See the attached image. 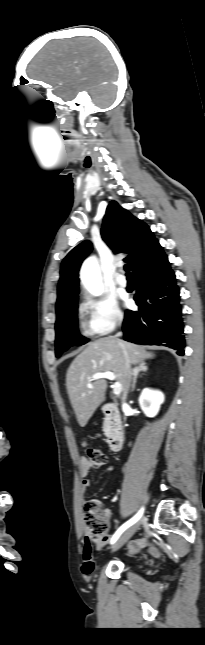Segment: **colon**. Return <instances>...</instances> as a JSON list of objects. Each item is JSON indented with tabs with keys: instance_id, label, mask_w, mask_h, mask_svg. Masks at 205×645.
<instances>
[{
	"instance_id": "obj_1",
	"label": "colon",
	"mask_w": 205,
	"mask_h": 645,
	"mask_svg": "<svg viewBox=\"0 0 205 645\" xmlns=\"http://www.w3.org/2000/svg\"><path fill=\"white\" fill-rule=\"evenodd\" d=\"M85 457L93 468L106 464L107 456L100 449L85 446ZM83 522L87 532V544H101L108 536L109 525L97 500H89L84 504Z\"/></svg>"
}]
</instances>
